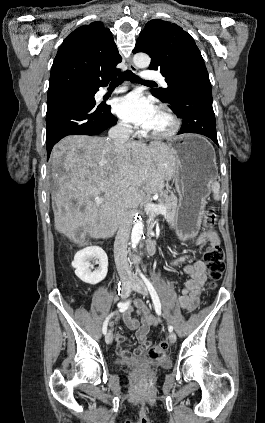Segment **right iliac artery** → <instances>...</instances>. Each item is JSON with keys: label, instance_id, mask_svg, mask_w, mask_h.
Masks as SVG:
<instances>
[{"label": "right iliac artery", "instance_id": "82829eb1", "mask_svg": "<svg viewBox=\"0 0 265 423\" xmlns=\"http://www.w3.org/2000/svg\"><path fill=\"white\" fill-rule=\"evenodd\" d=\"M129 304H130V300H128V301H126V302H120V303H118V308H119V311H120V312L125 311V310L128 308ZM112 315H113V313H111V314H110V315L106 318V320H105V322H104V324H103L102 332H103V334H104V335L107 333V325H108V321H109V319H110V317H111Z\"/></svg>", "mask_w": 265, "mask_h": 423}]
</instances>
